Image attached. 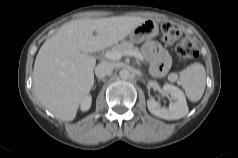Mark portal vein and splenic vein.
I'll list each match as a JSON object with an SVG mask.
<instances>
[{
	"label": "portal vein and splenic vein",
	"instance_id": "obj_1",
	"mask_svg": "<svg viewBox=\"0 0 238 158\" xmlns=\"http://www.w3.org/2000/svg\"><path fill=\"white\" fill-rule=\"evenodd\" d=\"M126 55L134 56V57L138 58L139 60H143L142 55L139 52H136L133 50H126L124 52L109 51L104 54V57L115 61V60L121 59L123 56H126Z\"/></svg>",
	"mask_w": 238,
	"mask_h": 158
}]
</instances>
